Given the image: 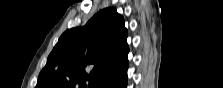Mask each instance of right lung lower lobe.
I'll return each mask as SVG.
<instances>
[{"label": "right lung lower lobe", "instance_id": "obj_1", "mask_svg": "<svg viewBox=\"0 0 223 88\" xmlns=\"http://www.w3.org/2000/svg\"><path fill=\"white\" fill-rule=\"evenodd\" d=\"M126 84H127V80L123 82L120 86H118L117 88H126Z\"/></svg>", "mask_w": 223, "mask_h": 88}]
</instances>
